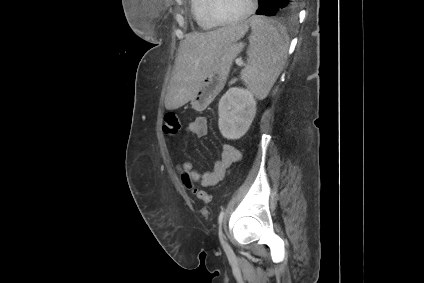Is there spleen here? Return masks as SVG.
<instances>
[{"mask_svg": "<svg viewBox=\"0 0 424 283\" xmlns=\"http://www.w3.org/2000/svg\"><path fill=\"white\" fill-rule=\"evenodd\" d=\"M247 50V66L241 79L258 98H265L280 75L287 59L289 37L286 28L273 20L253 17Z\"/></svg>", "mask_w": 424, "mask_h": 283, "instance_id": "3e777b00", "label": "spleen"}]
</instances>
